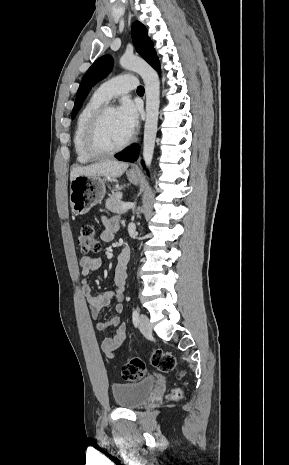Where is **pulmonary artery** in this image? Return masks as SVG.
<instances>
[{"mask_svg":"<svg viewBox=\"0 0 289 465\" xmlns=\"http://www.w3.org/2000/svg\"><path fill=\"white\" fill-rule=\"evenodd\" d=\"M138 86L137 78L130 74L118 75L104 82L97 90V95L104 101L125 94Z\"/></svg>","mask_w":289,"mask_h":465,"instance_id":"pulmonary-artery-1","label":"pulmonary artery"}]
</instances>
